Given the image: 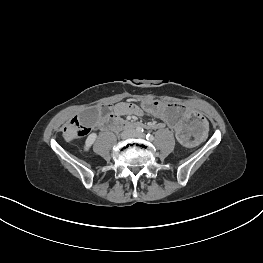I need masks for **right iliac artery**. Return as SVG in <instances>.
Listing matches in <instances>:
<instances>
[{
    "mask_svg": "<svg viewBox=\"0 0 263 263\" xmlns=\"http://www.w3.org/2000/svg\"><path fill=\"white\" fill-rule=\"evenodd\" d=\"M136 131H137L138 133H142V132H143V128H142V127H138V128H136Z\"/></svg>",
    "mask_w": 263,
    "mask_h": 263,
    "instance_id": "82829eb1",
    "label": "right iliac artery"
}]
</instances>
